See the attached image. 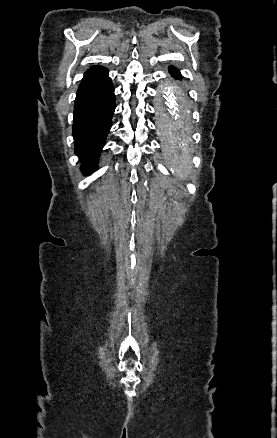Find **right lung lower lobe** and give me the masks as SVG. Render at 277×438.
Instances as JSON below:
<instances>
[{
	"label": "right lung lower lobe",
	"instance_id": "right-lung-lower-lobe-1",
	"mask_svg": "<svg viewBox=\"0 0 277 438\" xmlns=\"http://www.w3.org/2000/svg\"><path fill=\"white\" fill-rule=\"evenodd\" d=\"M114 110V87L107 70L83 78L75 99L73 136L75 153L81 159L85 174L97 168Z\"/></svg>",
	"mask_w": 277,
	"mask_h": 438
}]
</instances>
